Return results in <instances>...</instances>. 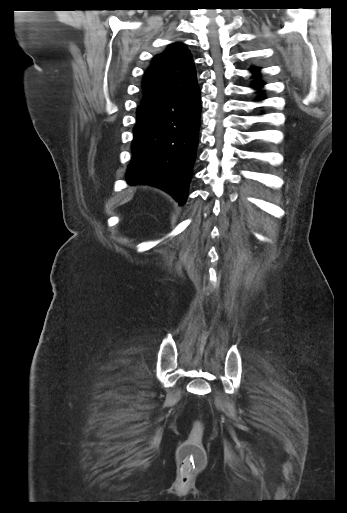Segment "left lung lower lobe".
Returning a JSON list of instances; mask_svg holds the SVG:
<instances>
[{
  "mask_svg": "<svg viewBox=\"0 0 347 513\" xmlns=\"http://www.w3.org/2000/svg\"><path fill=\"white\" fill-rule=\"evenodd\" d=\"M251 71H252V72H254V73H257V72L259 71V69H258V68H256V67H252V68H251ZM263 85H264V84H263L262 82L257 81V82H255V83L253 84V87H254V88H260V87H262Z\"/></svg>",
  "mask_w": 347,
  "mask_h": 513,
  "instance_id": "obj_1",
  "label": "left lung lower lobe"
}]
</instances>
